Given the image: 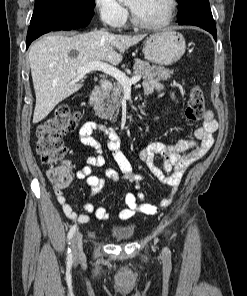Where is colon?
<instances>
[{
    "label": "colon",
    "instance_id": "obj_1",
    "mask_svg": "<svg viewBox=\"0 0 247 296\" xmlns=\"http://www.w3.org/2000/svg\"><path fill=\"white\" fill-rule=\"evenodd\" d=\"M205 110V98L202 89L193 85L185 108L188 121L199 120ZM80 120V113L71 106L64 105L55 110L52 116L36 129V151L41 161L48 165L47 176L56 188H65L73 180L71 167L63 160L67 147L63 136L74 130Z\"/></svg>",
    "mask_w": 247,
    "mask_h": 296
}]
</instances>
